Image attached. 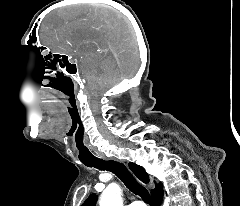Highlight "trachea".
<instances>
[{"instance_id":"1","label":"trachea","mask_w":240,"mask_h":206,"mask_svg":"<svg viewBox=\"0 0 240 206\" xmlns=\"http://www.w3.org/2000/svg\"><path fill=\"white\" fill-rule=\"evenodd\" d=\"M85 165L88 167H94L99 170H107L114 173L132 193H134L135 195H139L145 203L153 206L151 196L147 189L136 181V179L128 171V169L123 163L114 160L105 161L102 159H98L96 161L86 163Z\"/></svg>"}]
</instances>
